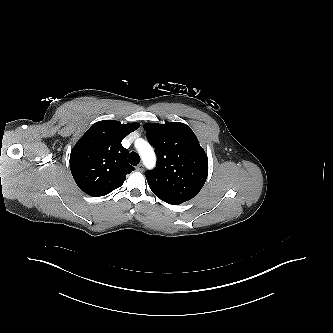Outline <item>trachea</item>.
Returning <instances> with one entry per match:
<instances>
[{"label": "trachea", "mask_w": 333, "mask_h": 333, "mask_svg": "<svg viewBox=\"0 0 333 333\" xmlns=\"http://www.w3.org/2000/svg\"><path fill=\"white\" fill-rule=\"evenodd\" d=\"M128 161L133 166H137L140 162V157L136 152H131L128 157Z\"/></svg>", "instance_id": "3493384b"}]
</instances>
